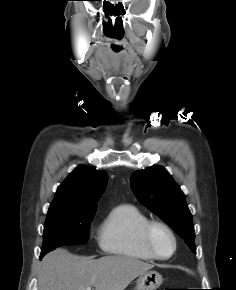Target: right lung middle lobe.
I'll use <instances>...</instances> for the list:
<instances>
[{
  "mask_svg": "<svg viewBox=\"0 0 236 290\" xmlns=\"http://www.w3.org/2000/svg\"><path fill=\"white\" fill-rule=\"evenodd\" d=\"M95 212L47 214L41 258L45 253L62 245L86 243L89 238L90 222Z\"/></svg>",
  "mask_w": 236,
  "mask_h": 290,
  "instance_id": "dd1d6c3e",
  "label": "right lung middle lobe"
}]
</instances>
